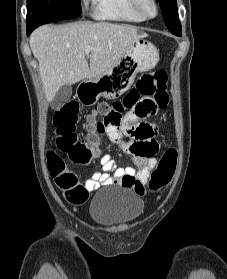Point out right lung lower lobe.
<instances>
[{
    "label": "right lung lower lobe",
    "instance_id": "1",
    "mask_svg": "<svg viewBox=\"0 0 227 279\" xmlns=\"http://www.w3.org/2000/svg\"><path fill=\"white\" fill-rule=\"evenodd\" d=\"M51 22H58V21H55V20H50V19H40L36 22H33V23H28L27 24V35L29 36L30 33L35 29L37 28L38 26L42 25V24H46V23H51Z\"/></svg>",
    "mask_w": 227,
    "mask_h": 279
}]
</instances>
